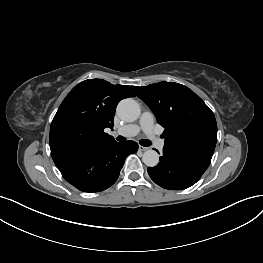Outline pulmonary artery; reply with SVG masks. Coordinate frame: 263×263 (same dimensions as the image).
I'll return each mask as SVG.
<instances>
[{
  "instance_id": "e3ab8cb5",
  "label": "pulmonary artery",
  "mask_w": 263,
  "mask_h": 263,
  "mask_svg": "<svg viewBox=\"0 0 263 263\" xmlns=\"http://www.w3.org/2000/svg\"><path fill=\"white\" fill-rule=\"evenodd\" d=\"M141 130L150 137L157 148L162 149L164 147V141L156 137L154 133V116L149 111L142 113L138 124L124 126L118 129L116 133L124 136H135Z\"/></svg>"
}]
</instances>
